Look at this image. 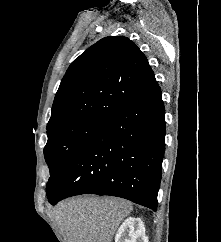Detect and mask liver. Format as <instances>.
Instances as JSON below:
<instances>
[{
    "mask_svg": "<svg viewBox=\"0 0 221 242\" xmlns=\"http://www.w3.org/2000/svg\"><path fill=\"white\" fill-rule=\"evenodd\" d=\"M132 209L123 199L77 197L59 203L52 218L64 242H111Z\"/></svg>",
    "mask_w": 221,
    "mask_h": 242,
    "instance_id": "obj_1",
    "label": "liver"
}]
</instances>
